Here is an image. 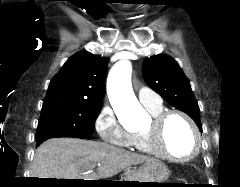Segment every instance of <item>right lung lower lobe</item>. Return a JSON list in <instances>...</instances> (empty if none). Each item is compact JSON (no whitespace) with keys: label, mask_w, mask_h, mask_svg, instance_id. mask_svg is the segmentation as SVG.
Segmentation results:
<instances>
[{"label":"right lung lower lobe","mask_w":240,"mask_h":187,"mask_svg":"<svg viewBox=\"0 0 240 187\" xmlns=\"http://www.w3.org/2000/svg\"><path fill=\"white\" fill-rule=\"evenodd\" d=\"M49 138H46V139H43V140H40V141H37V146H39L42 142H44L45 140H47Z\"/></svg>","instance_id":"1"}]
</instances>
